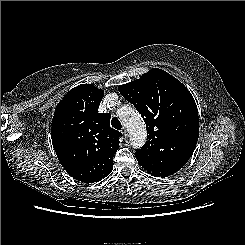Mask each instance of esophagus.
<instances>
[{"mask_svg":"<svg viewBox=\"0 0 245 245\" xmlns=\"http://www.w3.org/2000/svg\"><path fill=\"white\" fill-rule=\"evenodd\" d=\"M121 132H122V134H123V136H124L125 138L128 137V132H127L126 128H123Z\"/></svg>","mask_w":245,"mask_h":245,"instance_id":"1","label":"esophagus"}]
</instances>
